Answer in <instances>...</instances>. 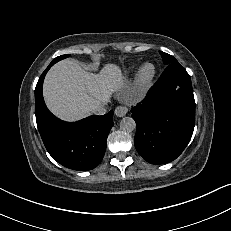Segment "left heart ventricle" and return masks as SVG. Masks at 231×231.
I'll list each match as a JSON object with an SVG mask.
<instances>
[{
  "label": "left heart ventricle",
  "mask_w": 231,
  "mask_h": 231,
  "mask_svg": "<svg viewBox=\"0 0 231 231\" xmlns=\"http://www.w3.org/2000/svg\"><path fill=\"white\" fill-rule=\"evenodd\" d=\"M150 70H151V69H150V68H148V69H147V72H150Z\"/></svg>",
  "instance_id": "left-heart-ventricle-1"
}]
</instances>
